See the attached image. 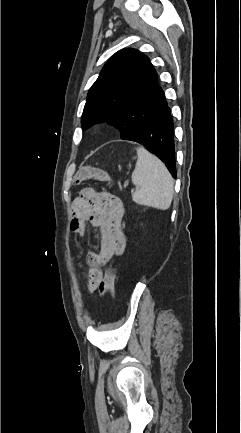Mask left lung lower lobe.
I'll use <instances>...</instances> for the list:
<instances>
[{
    "label": "left lung lower lobe",
    "mask_w": 241,
    "mask_h": 433,
    "mask_svg": "<svg viewBox=\"0 0 241 433\" xmlns=\"http://www.w3.org/2000/svg\"><path fill=\"white\" fill-rule=\"evenodd\" d=\"M174 123L171 108L166 99L149 121L125 140L145 146L166 165L176 177Z\"/></svg>",
    "instance_id": "obj_1"
}]
</instances>
